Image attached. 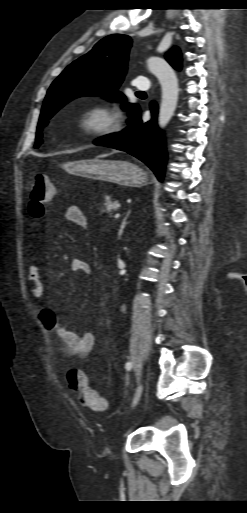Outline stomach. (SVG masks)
I'll return each instance as SVG.
<instances>
[{"mask_svg":"<svg viewBox=\"0 0 247 513\" xmlns=\"http://www.w3.org/2000/svg\"><path fill=\"white\" fill-rule=\"evenodd\" d=\"M64 169L74 174L121 186L138 187L146 183V174L135 164L125 160L93 158L66 162Z\"/></svg>","mask_w":247,"mask_h":513,"instance_id":"0dacf381","label":"stomach"}]
</instances>
